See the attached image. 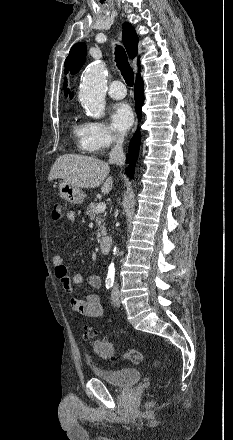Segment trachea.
<instances>
[{"label":"trachea","instance_id":"obj_1","mask_svg":"<svg viewBox=\"0 0 233 440\" xmlns=\"http://www.w3.org/2000/svg\"><path fill=\"white\" fill-rule=\"evenodd\" d=\"M115 56L117 67L120 69L126 84L128 86H133L134 73L129 65L125 50L121 46H116Z\"/></svg>","mask_w":233,"mask_h":440}]
</instances>
